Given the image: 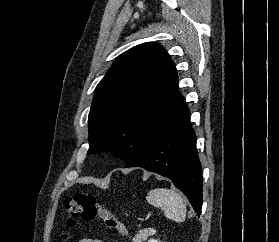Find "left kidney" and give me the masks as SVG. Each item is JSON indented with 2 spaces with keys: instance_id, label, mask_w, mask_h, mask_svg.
Wrapping results in <instances>:
<instances>
[{
  "instance_id": "1",
  "label": "left kidney",
  "mask_w": 279,
  "mask_h": 242,
  "mask_svg": "<svg viewBox=\"0 0 279 242\" xmlns=\"http://www.w3.org/2000/svg\"><path fill=\"white\" fill-rule=\"evenodd\" d=\"M148 242H160V241H158L156 239H150Z\"/></svg>"
}]
</instances>
